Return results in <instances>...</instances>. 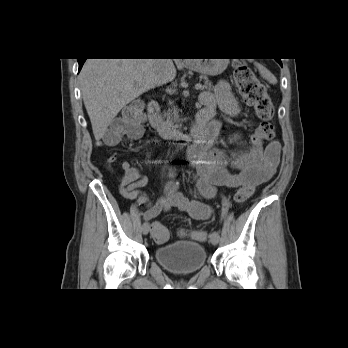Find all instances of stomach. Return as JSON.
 <instances>
[{
  "label": "stomach",
  "mask_w": 348,
  "mask_h": 348,
  "mask_svg": "<svg viewBox=\"0 0 348 348\" xmlns=\"http://www.w3.org/2000/svg\"><path fill=\"white\" fill-rule=\"evenodd\" d=\"M227 65V59H194L188 64V68L203 76H216L222 73Z\"/></svg>",
  "instance_id": "obj_1"
}]
</instances>
